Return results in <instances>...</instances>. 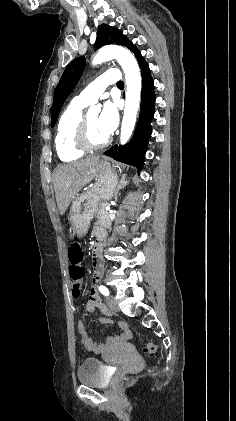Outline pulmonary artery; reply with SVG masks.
Masks as SVG:
<instances>
[{
  "instance_id": "e3ab8cb5",
  "label": "pulmonary artery",
  "mask_w": 236,
  "mask_h": 421,
  "mask_svg": "<svg viewBox=\"0 0 236 421\" xmlns=\"http://www.w3.org/2000/svg\"><path fill=\"white\" fill-rule=\"evenodd\" d=\"M119 75L120 72L116 69H107L105 74H102L95 84L89 85L74 100L83 106H88L94 103L108 85L118 81Z\"/></svg>"
}]
</instances>
